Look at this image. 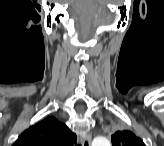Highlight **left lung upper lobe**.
Segmentation results:
<instances>
[{"label": "left lung upper lobe", "instance_id": "1", "mask_svg": "<svg viewBox=\"0 0 164 146\" xmlns=\"http://www.w3.org/2000/svg\"><path fill=\"white\" fill-rule=\"evenodd\" d=\"M113 146H145L144 142L128 130L117 131L111 136Z\"/></svg>", "mask_w": 164, "mask_h": 146}]
</instances>
